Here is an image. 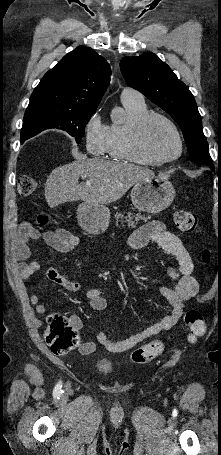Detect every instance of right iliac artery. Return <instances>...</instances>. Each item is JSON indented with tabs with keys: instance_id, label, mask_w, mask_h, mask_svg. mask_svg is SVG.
Listing matches in <instances>:
<instances>
[{
	"instance_id": "right-iliac-artery-1",
	"label": "right iliac artery",
	"mask_w": 221,
	"mask_h": 455,
	"mask_svg": "<svg viewBox=\"0 0 221 455\" xmlns=\"http://www.w3.org/2000/svg\"><path fill=\"white\" fill-rule=\"evenodd\" d=\"M61 387H62V384H61V382H59V383L55 386L54 393L59 394L60 391H61Z\"/></svg>"
}]
</instances>
